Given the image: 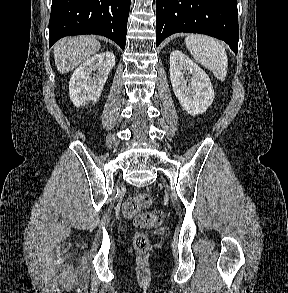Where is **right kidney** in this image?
<instances>
[{"mask_svg":"<svg viewBox=\"0 0 288 293\" xmlns=\"http://www.w3.org/2000/svg\"><path fill=\"white\" fill-rule=\"evenodd\" d=\"M114 65V54L106 51L87 59L74 71L69 82V94L76 107L99 100Z\"/></svg>","mask_w":288,"mask_h":293,"instance_id":"right-kidney-1","label":"right kidney"}]
</instances>
